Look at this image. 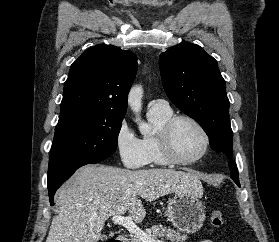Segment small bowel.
<instances>
[{"mask_svg":"<svg viewBox=\"0 0 279 242\" xmlns=\"http://www.w3.org/2000/svg\"><path fill=\"white\" fill-rule=\"evenodd\" d=\"M201 242H213V241H211V240H204V241H201Z\"/></svg>","mask_w":279,"mask_h":242,"instance_id":"obj_1","label":"small bowel"}]
</instances>
